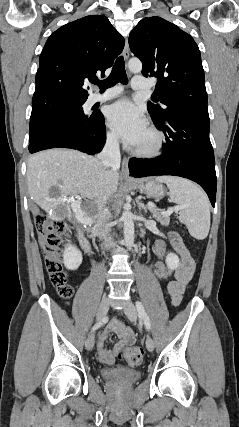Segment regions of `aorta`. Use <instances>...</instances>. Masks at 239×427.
<instances>
[{
  "instance_id": "762f6f07",
  "label": "aorta",
  "mask_w": 239,
  "mask_h": 427,
  "mask_svg": "<svg viewBox=\"0 0 239 427\" xmlns=\"http://www.w3.org/2000/svg\"><path fill=\"white\" fill-rule=\"evenodd\" d=\"M128 68L133 73H139L142 70V63L139 59H130L128 62ZM122 219L124 222L125 245L128 249H131L134 244V221L131 206L128 204L124 205Z\"/></svg>"
}]
</instances>
